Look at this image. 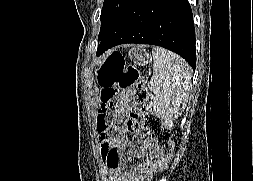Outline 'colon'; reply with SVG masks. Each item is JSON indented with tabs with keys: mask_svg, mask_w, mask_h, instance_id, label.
<instances>
[{
	"mask_svg": "<svg viewBox=\"0 0 253 181\" xmlns=\"http://www.w3.org/2000/svg\"><path fill=\"white\" fill-rule=\"evenodd\" d=\"M97 81L101 87L100 97L104 105L117 92H130L132 94L134 107L131 109L130 115L137 121L138 126L147 131L158 151L153 169L155 171L164 169L174 148L171 140L172 130L165 127L160 118L146 109L149 93L138 69L134 66L126 67L121 55L111 54L98 72Z\"/></svg>",
	"mask_w": 253,
	"mask_h": 181,
	"instance_id": "5ec220e1",
	"label": "colon"
}]
</instances>
